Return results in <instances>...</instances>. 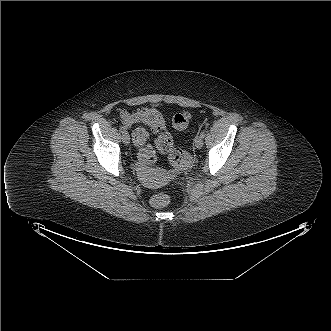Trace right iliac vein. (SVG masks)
Returning a JSON list of instances; mask_svg holds the SVG:
<instances>
[{
    "mask_svg": "<svg viewBox=\"0 0 331 331\" xmlns=\"http://www.w3.org/2000/svg\"><path fill=\"white\" fill-rule=\"evenodd\" d=\"M122 141L125 145H128L130 143V136H129L128 132L125 131L122 134Z\"/></svg>",
    "mask_w": 331,
    "mask_h": 331,
    "instance_id": "obj_1",
    "label": "right iliac vein"
}]
</instances>
